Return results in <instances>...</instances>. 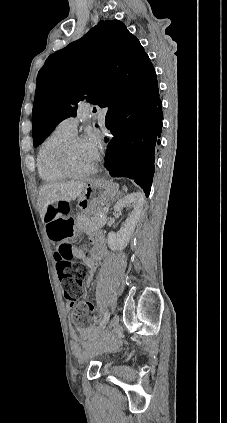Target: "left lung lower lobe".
<instances>
[{
    "label": "left lung lower lobe",
    "instance_id": "obj_1",
    "mask_svg": "<svg viewBox=\"0 0 227 423\" xmlns=\"http://www.w3.org/2000/svg\"><path fill=\"white\" fill-rule=\"evenodd\" d=\"M162 106L155 70L131 96L127 109L107 111L105 125L113 137L105 166L113 177L133 179L149 196L156 147L162 131Z\"/></svg>",
    "mask_w": 227,
    "mask_h": 423
}]
</instances>
